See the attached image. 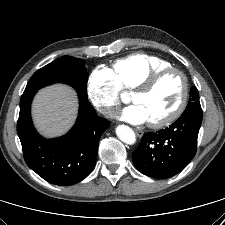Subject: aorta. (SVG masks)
I'll use <instances>...</instances> for the list:
<instances>
[{
    "label": "aorta",
    "instance_id": "obj_1",
    "mask_svg": "<svg viewBox=\"0 0 225 225\" xmlns=\"http://www.w3.org/2000/svg\"><path fill=\"white\" fill-rule=\"evenodd\" d=\"M116 134L122 142H124L128 145H132L136 141V136H135L134 131L128 126L119 125L116 128Z\"/></svg>",
    "mask_w": 225,
    "mask_h": 225
}]
</instances>
